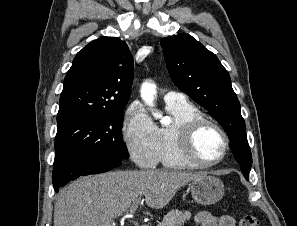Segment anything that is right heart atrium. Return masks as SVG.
Returning <instances> with one entry per match:
<instances>
[{"instance_id": "obj_1", "label": "right heart atrium", "mask_w": 297, "mask_h": 226, "mask_svg": "<svg viewBox=\"0 0 297 226\" xmlns=\"http://www.w3.org/2000/svg\"><path fill=\"white\" fill-rule=\"evenodd\" d=\"M122 138L138 167L154 168L160 161L158 127L139 102H133L126 110Z\"/></svg>"}]
</instances>
